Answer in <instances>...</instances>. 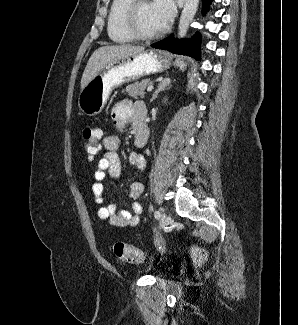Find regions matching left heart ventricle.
Listing matches in <instances>:
<instances>
[{"label":"left heart ventricle","instance_id":"1","mask_svg":"<svg viewBox=\"0 0 298 325\" xmlns=\"http://www.w3.org/2000/svg\"><path fill=\"white\" fill-rule=\"evenodd\" d=\"M134 23L137 30L144 34H152L162 31L156 2L146 1L139 5L135 11Z\"/></svg>","mask_w":298,"mask_h":325}]
</instances>
